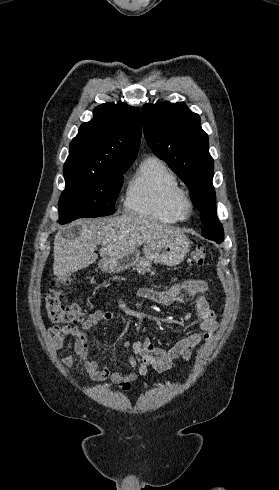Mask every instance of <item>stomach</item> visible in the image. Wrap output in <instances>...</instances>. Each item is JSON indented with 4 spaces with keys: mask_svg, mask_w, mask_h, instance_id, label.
I'll list each match as a JSON object with an SVG mask.
<instances>
[{
    "mask_svg": "<svg viewBox=\"0 0 279 490\" xmlns=\"http://www.w3.org/2000/svg\"><path fill=\"white\" fill-rule=\"evenodd\" d=\"M190 244L186 236L173 238V240H155V242H147L143 248V254L147 262L154 264H163L174 268L183 262L187 252H189ZM139 250H132L121 254L117 258H102L99 262L101 272L108 274H118L123 270H128L131 266H135L140 260Z\"/></svg>",
    "mask_w": 279,
    "mask_h": 490,
    "instance_id": "obj_1",
    "label": "stomach"
}]
</instances>
